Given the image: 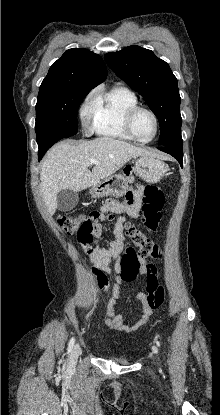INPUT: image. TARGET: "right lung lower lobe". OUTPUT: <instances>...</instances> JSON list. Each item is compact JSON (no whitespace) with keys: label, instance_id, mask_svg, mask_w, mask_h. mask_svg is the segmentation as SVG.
<instances>
[{"label":"right lung lower lobe","instance_id":"98d812e1","mask_svg":"<svg viewBox=\"0 0 220 415\" xmlns=\"http://www.w3.org/2000/svg\"><path fill=\"white\" fill-rule=\"evenodd\" d=\"M48 150V148H40L38 152V159L41 160V158L44 156L45 152Z\"/></svg>","mask_w":220,"mask_h":415}]
</instances>
